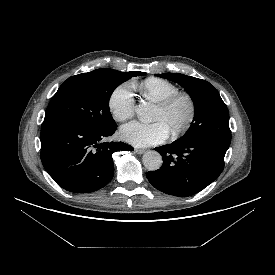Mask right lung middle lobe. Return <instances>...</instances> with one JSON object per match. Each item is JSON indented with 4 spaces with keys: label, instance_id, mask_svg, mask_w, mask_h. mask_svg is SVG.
Masks as SVG:
<instances>
[{
    "label": "right lung middle lobe",
    "instance_id": "right-lung-middle-lobe-1",
    "mask_svg": "<svg viewBox=\"0 0 275 275\" xmlns=\"http://www.w3.org/2000/svg\"><path fill=\"white\" fill-rule=\"evenodd\" d=\"M145 72L101 68L68 78L52 97L45 121L68 120L95 127H112L109 98L115 88Z\"/></svg>",
    "mask_w": 275,
    "mask_h": 275
}]
</instances>
